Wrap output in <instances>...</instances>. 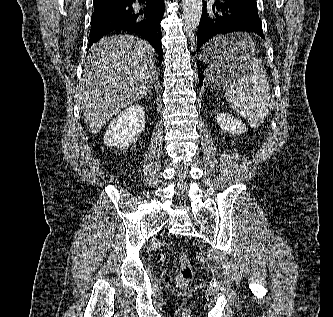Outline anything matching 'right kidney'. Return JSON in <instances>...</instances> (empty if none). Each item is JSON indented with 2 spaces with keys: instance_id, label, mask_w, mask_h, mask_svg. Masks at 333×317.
I'll return each instance as SVG.
<instances>
[{
  "instance_id": "ca27d5eb",
  "label": "right kidney",
  "mask_w": 333,
  "mask_h": 317,
  "mask_svg": "<svg viewBox=\"0 0 333 317\" xmlns=\"http://www.w3.org/2000/svg\"><path fill=\"white\" fill-rule=\"evenodd\" d=\"M145 126V110L140 104L131 105L120 112L109 124L104 143L124 148L134 143Z\"/></svg>"
}]
</instances>
